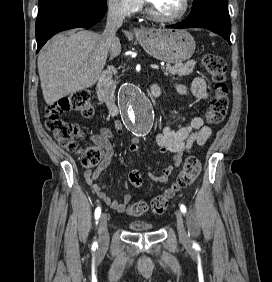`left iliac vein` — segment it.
I'll use <instances>...</instances> for the list:
<instances>
[{"instance_id": "obj_1", "label": "left iliac vein", "mask_w": 272, "mask_h": 282, "mask_svg": "<svg viewBox=\"0 0 272 282\" xmlns=\"http://www.w3.org/2000/svg\"><path fill=\"white\" fill-rule=\"evenodd\" d=\"M176 220H177V230H178L180 242L185 246H190L191 240L184 226L183 214L179 210H177L176 212Z\"/></svg>"}]
</instances>
